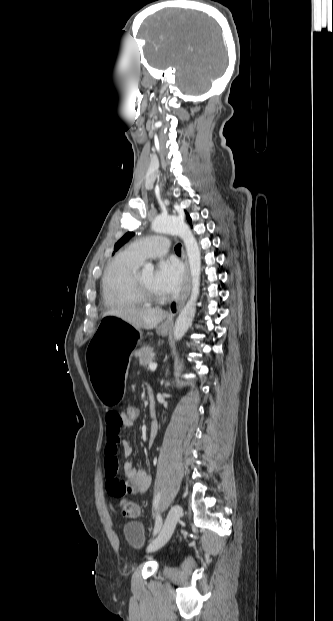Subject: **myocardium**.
Returning a JSON list of instances; mask_svg holds the SVG:
<instances>
[{"label":"myocardium","mask_w":333,"mask_h":621,"mask_svg":"<svg viewBox=\"0 0 333 621\" xmlns=\"http://www.w3.org/2000/svg\"><path fill=\"white\" fill-rule=\"evenodd\" d=\"M133 290L136 295L142 299L144 302L150 303H160L165 300L164 296H158L150 292L145 286L141 283L139 279V272H135L132 279Z\"/></svg>","instance_id":"obj_1"}]
</instances>
